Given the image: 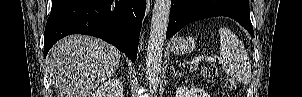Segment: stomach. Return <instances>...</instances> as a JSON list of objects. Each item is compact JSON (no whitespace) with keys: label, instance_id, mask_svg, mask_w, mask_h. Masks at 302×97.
Returning a JSON list of instances; mask_svg holds the SVG:
<instances>
[{"label":"stomach","instance_id":"obj_1","mask_svg":"<svg viewBox=\"0 0 302 97\" xmlns=\"http://www.w3.org/2000/svg\"><path fill=\"white\" fill-rule=\"evenodd\" d=\"M196 48L193 37H176L171 41L170 49L176 55H186Z\"/></svg>","mask_w":302,"mask_h":97}]
</instances>
